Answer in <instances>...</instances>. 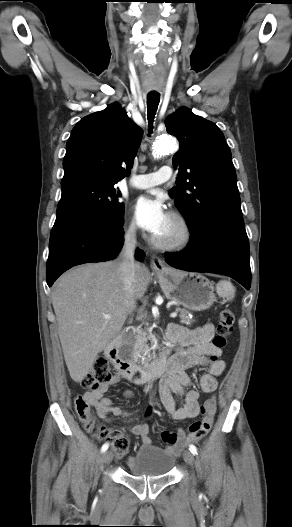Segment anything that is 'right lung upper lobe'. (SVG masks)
Wrapping results in <instances>:
<instances>
[{
    "mask_svg": "<svg viewBox=\"0 0 292 527\" xmlns=\"http://www.w3.org/2000/svg\"><path fill=\"white\" fill-rule=\"evenodd\" d=\"M142 133L118 103L84 117L67 141L62 182L86 178L116 184L129 175Z\"/></svg>",
    "mask_w": 292,
    "mask_h": 527,
    "instance_id": "cb5924a9",
    "label": "right lung upper lobe"
}]
</instances>
